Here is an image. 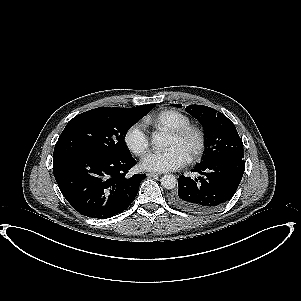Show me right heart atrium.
Masks as SVG:
<instances>
[{
    "instance_id": "1",
    "label": "right heart atrium",
    "mask_w": 301,
    "mask_h": 301,
    "mask_svg": "<svg viewBox=\"0 0 301 301\" xmlns=\"http://www.w3.org/2000/svg\"><path fill=\"white\" fill-rule=\"evenodd\" d=\"M126 143L129 149L138 155L144 154L150 145L147 134L138 126H133L128 130Z\"/></svg>"
}]
</instances>
